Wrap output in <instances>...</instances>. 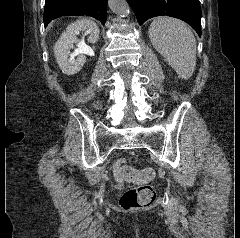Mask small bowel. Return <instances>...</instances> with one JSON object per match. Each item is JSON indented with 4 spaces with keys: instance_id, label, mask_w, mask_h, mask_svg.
I'll list each match as a JSON object with an SVG mask.
<instances>
[{
    "instance_id": "1",
    "label": "small bowel",
    "mask_w": 240,
    "mask_h": 238,
    "mask_svg": "<svg viewBox=\"0 0 240 238\" xmlns=\"http://www.w3.org/2000/svg\"><path fill=\"white\" fill-rule=\"evenodd\" d=\"M123 163H125L124 159H118L112 165L113 177L117 181H120L119 171ZM116 187H127V182H116Z\"/></svg>"
}]
</instances>
